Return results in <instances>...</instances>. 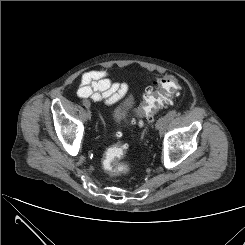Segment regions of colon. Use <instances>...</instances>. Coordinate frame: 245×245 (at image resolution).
<instances>
[{
    "label": "colon",
    "instance_id": "5ec220e1",
    "mask_svg": "<svg viewBox=\"0 0 245 245\" xmlns=\"http://www.w3.org/2000/svg\"><path fill=\"white\" fill-rule=\"evenodd\" d=\"M177 90L178 83L174 77L165 76L159 78L153 87L145 90L143 100L138 109L139 115L152 121L159 108L168 104ZM124 154V145L118 144L109 148L102 159L103 169L114 176L125 174L128 166L120 162Z\"/></svg>",
    "mask_w": 245,
    "mask_h": 245
}]
</instances>
